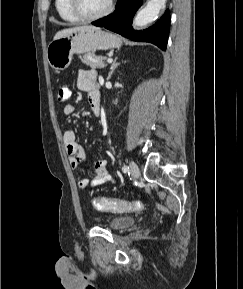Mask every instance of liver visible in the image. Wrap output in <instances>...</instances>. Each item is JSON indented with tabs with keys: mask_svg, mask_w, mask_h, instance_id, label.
Listing matches in <instances>:
<instances>
[{
	"mask_svg": "<svg viewBox=\"0 0 243 289\" xmlns=\"http://www.w3.org/2000/svg\"><path fill=\"white\" fill-rule=\"evenodd\" d=\"M82 28L98 29L97 27H92V26H91V27L83 26V27L67 28V29H63V30L58 31V32L55 34L53 40H56V39L62 38V37H64V36H66L67 34L73 32V31H75V30L82 29Z\"/></svg>",
	"mask_w": 243,
	"mask_h": 289,
	"instance_id": "obj_1",
	"label": "liver"
}]
</instances>
